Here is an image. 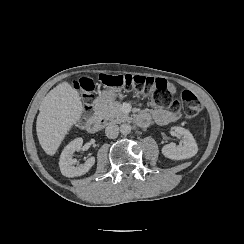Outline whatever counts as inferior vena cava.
Instances as JSON below:
<instances>
[{
    "mask_svg": "<svg viewBox=\"0 0 244 244\" xmlns=\"http://www.w3.org/2000/svg\"><path fill=\"white\" fill-rule=\"evenodd\" d=\"M106 136L110 139H114L119 134V127L118 125H110L105 130Z\"/></svg>",
    "mask_w": 244,
    "mask_h": 244,
    "instance_id": "602c4592",
    "label": "inferior vena cava"
}]
</instances>
